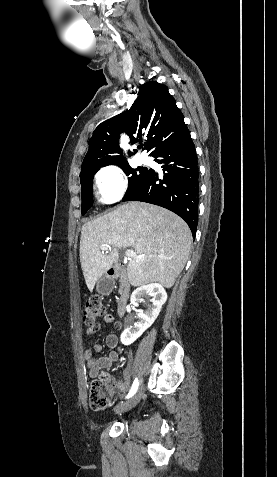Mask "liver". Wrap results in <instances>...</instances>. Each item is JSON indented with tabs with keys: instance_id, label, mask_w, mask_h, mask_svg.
<instances>
[{
	"instance_id": "6515ba94",
	"label": "liver",
	"mask_w": 277,
	"mask_h": 477,
	"mask_svg": "<svg viewBox=\"0 0 277 477\" xmlns=\"http://www.w3.org/2000/svg\"><path fill=\"white\" fill-rule=\"evenodd\" d=\"M104 244L112 246L110 253L100 251ZM191 244L188 225L173 212L144 202L123 204L82 226L80 262L86 285L92 292L98 279L118 262V249L132 247L139 257L128 263L130 284L158 282L171 288Z\"/></svg>"
}]
</instances>
